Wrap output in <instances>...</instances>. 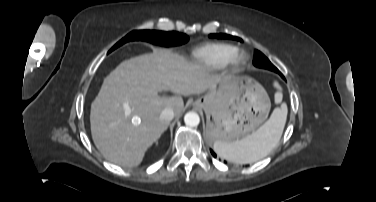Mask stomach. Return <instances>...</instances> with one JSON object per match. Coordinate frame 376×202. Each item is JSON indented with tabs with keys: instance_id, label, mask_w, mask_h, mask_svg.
<instances>
[{
	"instance_id": "obj_1",
	"label": "stomach",
	"mask_w": 376,
	"mask_h": 202,
	"mask_svg": "<svg viewBox=\"0 0 376 202\" xmlns=\"http://www.w3.org/2000/svg\"><path fill=\"white\" fill-rule=\"evenodd\" d=\"M193 104L204 109L207 135L214 142H232L250 135L266 120L270 109L264 88L242 76L223 78Z\"/></svg>"
}]
</instances>
